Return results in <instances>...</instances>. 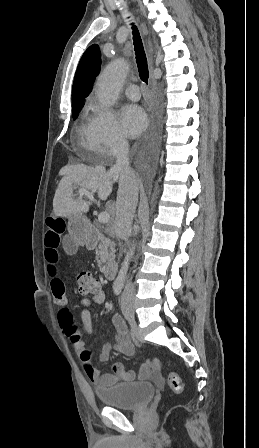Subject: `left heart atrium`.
Returning a JSON list of instances; mask_svg holds the SVG:
<instances>
[{
	"instance_id": "obj_1",
	"label": "left heart atrium",
	"mask_w": 259,
	"mask_h": 448,
	"mask_svg": "<svg viewBox=\"0 0 259 448\" xmlns=\"http://www.w3.org/2000/svg\"><path fill=\"white\" fill-rule=\"evenodd\" d=\"M147 119L142 108L135 104L124 106L120 112V126L126 136L135 138L145 129Z\"/></svg>"
}]
</instances>
